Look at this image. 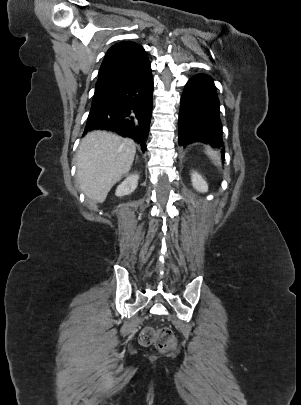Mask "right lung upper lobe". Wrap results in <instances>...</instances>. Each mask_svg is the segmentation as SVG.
<instances>
[{"mask_svg": "<svg viewBox=\"0 0 301 405\" xmlns=\"http://www.w3.org/2000/svg\"><path fill=\"white\" fill-rule=\"evenodd\" d=\"M147 53L137 43L123 41L106 53L98 73L95 94H107L126 80L145 60Z\"/></svg>", "mask_w": 301, "mask_h": 405, "instance_id": "cb5924a9", "label": "right lung upper lobe"}]
</instances>
